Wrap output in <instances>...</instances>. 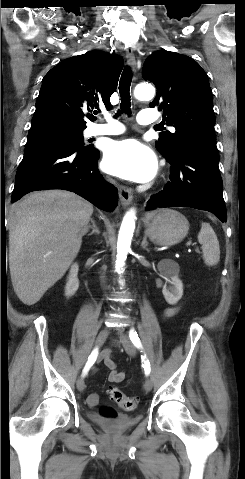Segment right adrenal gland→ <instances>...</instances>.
<instances>
[{
  "label": "right adrenal gland",
  "instance_id": "1",
  "mask_svg": "<svg viewBox=\"0 0 245 479\" xmlns=\"http://www.w3.org/2000/svg\"><path fill=\"white\" fill-rule=\"evenodd\" d=\"M91 224L92 225L90 226V228L92 229V231L88 234V236H91L93 234L99 235L100 231H99V229H98V227H97V225H96V223L93 219H91ZM88 228H89V226H88Z\"/></svg>",
  "mask_w": 245,
  "mask_h": 479
}]
</instances>
